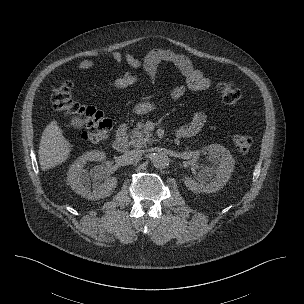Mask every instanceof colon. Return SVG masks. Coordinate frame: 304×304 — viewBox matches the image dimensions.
<instances>
[{"label":"colon","instance_id":"obj_1","mask_svg":"<svg viewBox=\"0 0 304 304\" xmlns=\"http://www.w3.org/2000/svg\"><path fill=\"white\" fill-rule=\"evenodd\" d=\"M71 80H64L52 91L51 102L53 108L66 116H76L82 119L83 130L80 137L86 141L100 142L108 137L112 122L103 112L91 106H83L73 100ZM222 102L229 107L238 104L241 93L232 81H223L217 85ZM233 143L241 153H247L252 146V138L246 134H235Z\"/></svg>","mask_w":304,"mask_h":304}]
</instances>
